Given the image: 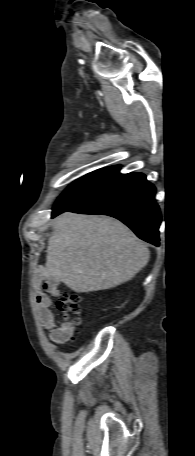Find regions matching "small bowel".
Listing matches in <instances>:
<instances>
[{
	"label": "small bowel",
	"instance_id": "c3829d8e",
	"mask_svg": "<svg viewBox=\"0 0 195 456\" xmlns=\"http://www.w3.org/2000/svg\"><path fill=\"white\" fill-rule=\"evenodd\" d=\"M34 294L37 303V313L41 324L49 330L50 338L56 343L70 339L72 329L69 326H57L50 309L49 294H57V282L52 278H43L35 283Z\"/></svg>",
	"mask_w": 195,
	"mask_h": 456
}]
</instances>
